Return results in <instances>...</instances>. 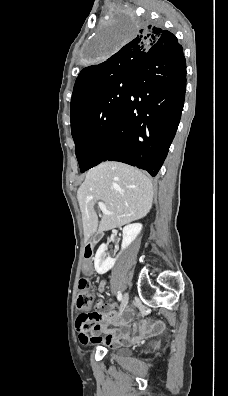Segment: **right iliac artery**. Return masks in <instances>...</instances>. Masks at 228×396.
I'll list each match as a JSON object with an SVG mask.
<instances>
[{"label": "right iliac artery", "mask_w": 228, "mask_h": 396, "mask_svg": "<svg viewBox=\"0 0 228 396\" xmlns=\"http://www.w3.org/2000/svg\"><path fill=\"white\" fill-rule=\"evenodd\" d=\"M117 298H118V300H119V301H121V300H122V294H121V292H118V294H117Z\"/></svg>", "instance_id": "82829eb1"}]
</instances>
